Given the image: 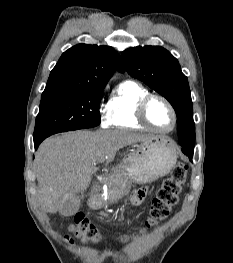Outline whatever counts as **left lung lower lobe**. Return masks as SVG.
Segmentation results:
<instances>
[{"label": "left lung lower lobe", "instance_id": "obj_1", "mask_svg": "<svg viewBox=\"0 0 233 263\" xmlns=\"http://www.w3.org/2000/svg\"><path fill=\"white\" fill-rule=\"evenodd\" d=\"M179 145L185 155L189 156V158L193 156L194 146L189 145L187 142L184 141H179Z\"/></svg>", "mask_w": 233, "mask_h": 263}]
</instances>
